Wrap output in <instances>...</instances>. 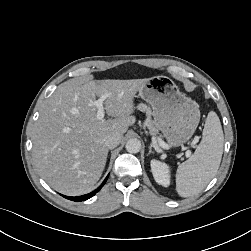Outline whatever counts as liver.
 <instances>
[{
  "instance_id": "6515ba94",
  "label": "liver",
  "mask_w": 251,
  "mask_h": 251,
  "mask_svg": "<svg viewBox=\"0 0 251 251\" xmlns=\"http://www.w3.org/2000/svg\"><path fill=\"white\" fill-rule=\"evenodd\" d=\"M149 79L69 80L44 102L33 132V159L43 179L56 191L70 196L90 192L106 165L104 139L120 141L134 124V97ZM104 101L111 119H97L96 97Z\"/></svg>"
}]
</instances>
